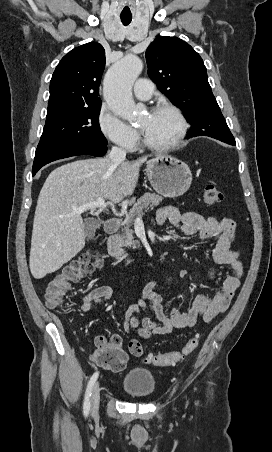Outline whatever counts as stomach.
<instances>
[{"label": "stomach", "instance_id": "obj_1", "mask_svg": "<svg viewBox=\"0 0 272 452\" xmlns=\"http://www.w3.org/2000/svg\"><path fill=\"white\" fill-rule=\"evenodd\" d=\"M145 171L153 189L168 198L183 195L192 182L189 166L169 154H158L147 161Z\"/></svg>", "mask_w": 272, "mask_h": 452}]
</instances>
